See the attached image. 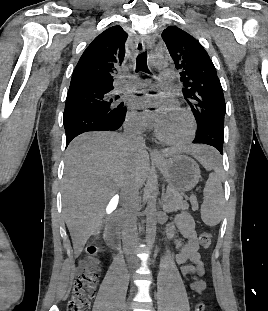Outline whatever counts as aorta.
I'll return each instance as SVG.
<instances>
[{
  "label": "aorta",
  "instance_id": "1",
  "mask_svg": "<svg viewBox=\"0 0 268 311\" xmlns=\"http://www.w3.org/2000/svg\"><path fill=\"white\" fill-rule=\"evenodd\" d=\"M150 63L153 67L163 68L166 66V60L163 56L153 54L150 58ZM157 195H158V176L153 174L147 183V206H146V242L151 248L155 242L156 225L158 218L157 210Z\"/></svg>",
  "mask_w": 268,
  "mask_h": 311
}]
</instances>
